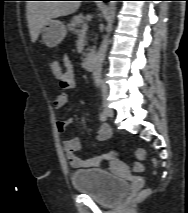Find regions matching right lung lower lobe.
<instances>
[{
	"label": "right lung lower lobe",
	"instance_id": "1",
	"mask_svg": "<svg viewBox=\"0 0 188 213\" xmlns=\"http://www.w3.org/2000/svg\"><path fill=\"white\" fill-rule=\"evenodd\" d=\"M103 1L107 2V1H110V0H103Z\"/></svg>",
	"mask_w": 188,
	"mask_h": 213
}]
</instances>
